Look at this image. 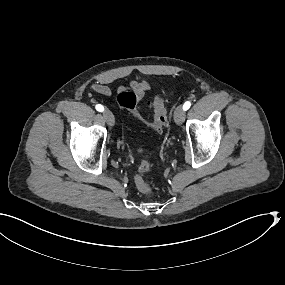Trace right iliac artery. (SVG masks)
<instances>
[{"label":"right iliac artery","instance_id":"1","mask_svg":"<svg viewBox=\"0 0 285 285\" xmlns=\"http://www.w3.org/2000/svg\"><path fill=\"white\" fill-rule=\"evenodd\" d=\"M96 110L99 112H102L104 110V107L101 104L96 105Z\"/></svg>","mask_w":285,"mask_h":285}]
</instances>
